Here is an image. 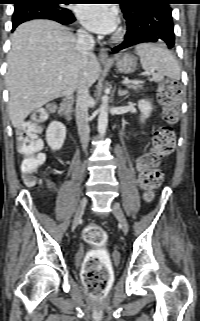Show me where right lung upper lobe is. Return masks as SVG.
Wrapping results in <instances>:
<instances>
[{"label":"right lung upper lobe","mask_w":200,"mask_h":321,"mask_svg":"<svg viewBox=\"0 0 200 321\" xmlns=\"http://www.w3.org/2000/svg\"><path fill=\"white\" fill-rule=\"evenodd\" d=\"M15 1H16L15 6H18V5H28L31 2L36 0H15Z\"/></svg>","instance_id":"1"}]
</instances>
